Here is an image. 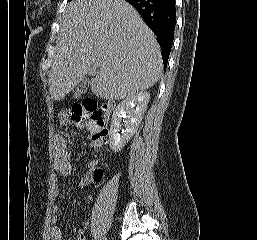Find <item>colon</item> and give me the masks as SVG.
<instances>
[{"label":"colon","instance_id":"1","mask_svg":"<svg viewBox=\"0 0 257 240\" xmlns=\"http://www.w3.org/2000/svg\"><path fill=\"white\" fill-rule=\"evenodd\" d=\"M67 115L76 124L88 127L96 147L101 148L105 145L107 130L104 127L103 112L94 100H85L73 105ZM94 172L98 177L103 175L100 165L95 167Z\"/></svg>","mask_w":257,"mask_h":240}]
</instances>
